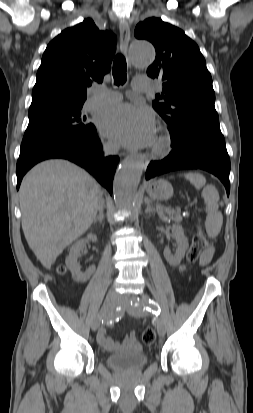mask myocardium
<instances>
[{
  "label": "myocardium",
  "mask_w": 253,
  "mask_h": 413,
  "mask_svg": "<svg viewBox=\"0 0 253 413\" xmlns=\"http://www.w3.org/2000/svg\"><path fill=\"white\" fill-rule=\"evenodd\" d=\"M171 150V139L170 136L164 130H160L157 135L153 145L152 154L154 156H165Z\"/></svg>",
  "instance_id": "f54148a6"
}]
</instances>
